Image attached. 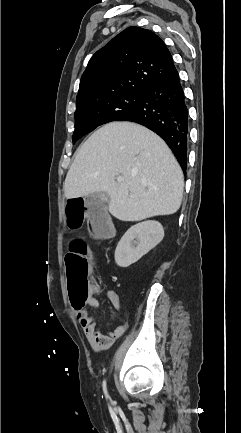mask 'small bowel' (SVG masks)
<instances>
[{
	"label": "small bowel",
	"mask_w": 241,
	"mask_h": 433,
	"mask_svg": "<svg viewBox=\"0 0 241 433\" xmlns=\"http://www.w3.org/2000/svg\"><path fill=\"white\" fill-rule=\"evenodd\" d=\"M100 293V288L95 284L93 286V297L88 300L87 304L91 307L97 308L100 306L99 300L94 294ZM106 296L109 299L115 311L119 312L121 303L118 294L112 289L106 291ZM76 317L83 328L84 334L95 351H103L109 348L114 341L119 339L125 332V323H117L116 326L108 333L104 334L97 330L94 319L89 315L88 310L84 312H75Z\"/></svg>",
	"instance_id": "obj_1"
}]
</instances>
